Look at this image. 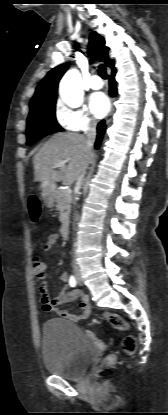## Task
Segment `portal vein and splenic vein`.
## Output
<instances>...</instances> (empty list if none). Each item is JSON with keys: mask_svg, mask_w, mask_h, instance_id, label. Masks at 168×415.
<instances>
[{"mask_svg": "<svg viewBox=\"0 0 168 415\" xmlns=\"http://www.w3.org/2000/svg\"><path fill=\"white\" fill-rule=\"evenodd\" d=\"M66 163H68V160H62V161H59L56 164H54V167L55 168L62 167ZM65 191H66V194H71L72 193V190L70 188L66 189Z\"/></svg>", "mask_w": 168, "mask_h": 415, "instance_id": "obj_1", "label": "portal vein and splenic vein"}]
</instances>
